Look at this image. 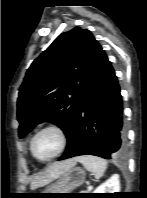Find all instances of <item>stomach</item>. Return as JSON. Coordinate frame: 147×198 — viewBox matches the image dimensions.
Listing matches in <instances>:
<instances>
[{"instance_id": "obj_1", "label": "stomach", "mask_w": 147, "mask_h": 198, "mask_svg": "<svg viewBox=\"0 0 147 198\" xmlns=\"http://www.w3.org/2000/svg\"><path fill=\"white\" fill-rule=\"evenodd\" d=\"M85 171L81 168H71L60 178L47 186L41 193H71L70 191L82 185L85 181Z\"/></svg>"}]
</instances>
